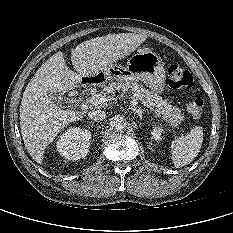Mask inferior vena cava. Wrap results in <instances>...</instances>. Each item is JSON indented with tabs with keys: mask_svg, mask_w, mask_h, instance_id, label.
<instances>
[{
	"mask_svg": "<svg viewBox=\"0 0 233 233\" xmlns=\"http://www.w3.org/2000/svg\"><path fill=\"white\" fill-rule=\"evenodd\" d=\"M88 117L94 121H101L106 118V113L102 110H92L88 113Z\"/></svg>",
	"mask_w": 233,
	"mask_h": 233,
	"instance_id": "obj_1",
	"label": "inferior vena cava"
}]
</instances>
